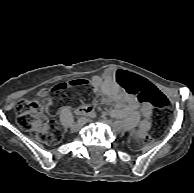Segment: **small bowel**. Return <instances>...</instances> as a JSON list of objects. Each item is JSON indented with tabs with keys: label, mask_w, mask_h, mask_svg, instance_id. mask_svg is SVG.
<instances>
[{
	"label": "small bowel",
	"mask_w": 194,
	"mask_h": 193,
	"mask_svg": "<svg viewBox=\"0 0 194 193\" xmlns=\"http://www.w3.org/2000/svg\"><path fill=\"white\" fill-rule=\"evenodd\" d=\"M150 84L155 88L156 91L162 94V92L157 87H155L152 83ZM92 91L95 96L96 103H113L114 108L111 111L112 117L129 118L132 121H137L138 102L136 96L131 92H124L121 90L120 85L116 81V71L114 69H108L102 74L95 75L92 78ZM91 110V106L82 105L78 108L77 112L80 115H87L91 112ZM152 112V104H144L141 106L140 113L143 116V120L140 123L139 129L137 131L138 135L143 137L149 130Z\"/></svg>",
	"instance_id": "1"
}]
</instances>
